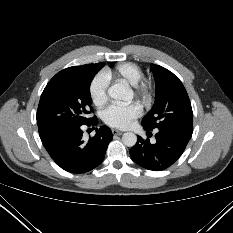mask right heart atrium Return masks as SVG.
Masks as SVG:
<instances>
[{"label": "right heart atrium", "mask_w": 233, "mask_h": 233, "mask_svg": "<svg viewBox=\"0 0 233 233\" xmlns=\"http://www.w3.org/2000/svg\"><path fill=\"white\" fill-rule=\"evenodd\" d=\"M109 79L101 72L97 74L89 85V95L92 102L98 106H104L108 101Z\"/></svg>", "instance_id": "1"}]
</instances>
